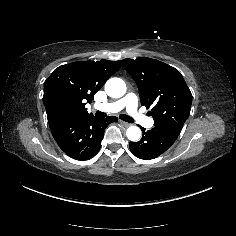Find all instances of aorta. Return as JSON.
<instances>
[{
  "instance_id": "aorta-1",
  "label": "aorta",
  "mask_w": 236,
  "mask_h": 236,
  "mask_svg": "<svg viewBox=\"0 0 236 236\" xmlns=\"http://www.w3.org/2000/svg\"><path fill=\"white\" fill-rule=\"evenodd\" d=\"M105 91L110 97L120 98L126 93V84L119 78H111L105 84ZM141 134V129L137 126H130L126 131V136L130 141H138Z\"/></svg>"
}]
</instances>
